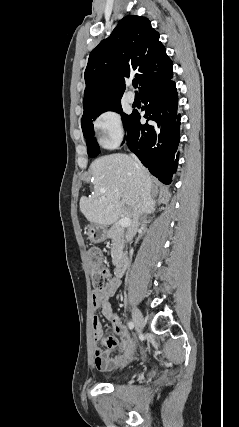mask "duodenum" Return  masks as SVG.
I'll use <instances>...</instances> for the list:
<instances>
[{"instance_id":"1","label":"duodenum","mask_w":239,"mask_h":427,"mask_svg":"<svg viewBox=\"0 0 239 427\" xmlns=\"http://www.w3.org/2000/svg\"><path fill=\"white\" fill-rule=\"evenodd\" d=\"M129 264V255L127 252L121 251L115 261L114 273L116 277H121Z\"/></svg>"}]
</instances>
